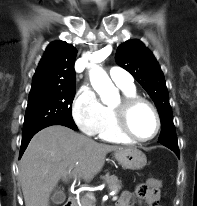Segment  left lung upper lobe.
<instances>
[{
    "label": "left lung upper lobe",
    "instance_id": "left-lung-upper-lobe-1",
    "mask_svg": "<svg viewBox=\"0 0 197 206\" xmlns=\"http://www.w3.org/2000/svg\"><path fill=\"white\" fill-rule=\"evenodd\" d=\"M116 62L127 70L154 101L161 120L159 143H177L172 109L164 75L154 55L139 40H130L117 48Z\"/></svg>",
    "mask_w": 197,
    "mask_h": 206
}]
</instances>
